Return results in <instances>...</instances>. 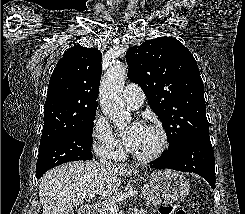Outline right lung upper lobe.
I'll return each mask as SVG.
<instances>
[{
	"label": "right lung upper lobe",
	"instance_id": "1",
	"mask_svg": "<svg viewBox=\"0 0 245 214\" xmlns=\"http://www.w3.org/2000/svg\"><path fill=\"white\" fill-rule=\"evenodd\" d=\"M102 54L80 45L69 48L50 78L42 135L74 125L97 109Z\"/></svg>",
	"mask_w": 245,
	"mask_h": 214
}]
</instances>
